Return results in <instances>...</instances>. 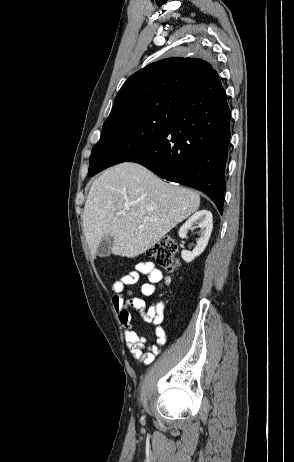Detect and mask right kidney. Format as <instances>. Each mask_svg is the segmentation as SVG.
<instances>
[{"label":"right kidney","mask_w":294,"mask_h":462,"mask_svg":"<svg viewBox=\"0 0 294 462\" xmlns=\"http://www.w3.org/2000/svg\"><path fill=\"white\" fill-rule=\"evenodd\" d=\"M200 228L197 245L192 252L183 250L182 259L189 263L199 256L206 248L213 228L212 213L208 210H200L193 214L179 230L180 238H185L190 228Z\"/></svg>","instance_id":"ca27d5eb"}]
</instances>
